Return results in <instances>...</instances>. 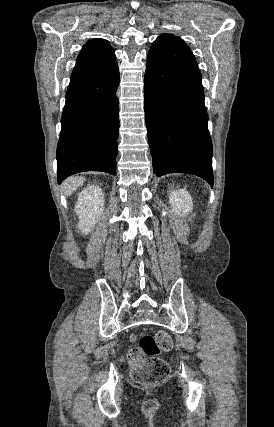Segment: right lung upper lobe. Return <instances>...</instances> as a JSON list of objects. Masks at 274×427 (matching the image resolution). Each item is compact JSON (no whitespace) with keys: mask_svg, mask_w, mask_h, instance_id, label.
<instances>
[{"mask_svg":"<svg viewBox=\"0 0 274 427\" xmlns=\"http://www.w3.org/2000/svg\"><path fill=\"white\" fill-rule=\"evenodd\" d=\"M115 62L114 51L106 40H90L78 55L71 77L99 72Z\"/></svg>","mask_w":274,"mask_h":427,"instance_id":"1","label":"right lung upper lobe"}]
</instances>
